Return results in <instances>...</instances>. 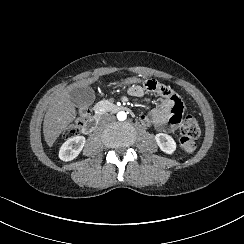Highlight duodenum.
Listing matches in <instances>:
<instances>
[{"label": "duodenum", "instance_id": "410a0bca", "mask_svg": "<svg viewBox=\"0 0 244 244\" xmlns=\"http://www.w3.org/2000/svg\"><path fill=\"white\" fill-rule=\"evenodd\" d=\"M116 110H127V107L124 104H117L115 107ZM101 109L97 113H95L91 118L87 120V122L83 126V132L85 134H90L95 127V120L99 117L101 114Z\"/></svg>", "mask_w": 244, "mask_h": 244}]
</instances>
